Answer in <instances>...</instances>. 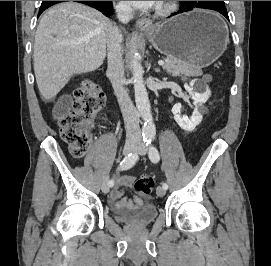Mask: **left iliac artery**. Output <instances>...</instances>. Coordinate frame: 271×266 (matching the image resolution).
<instances>
[{
    "label": "left iliac artery",
    "mask_w": 271,
    "mask_h": 266,
    "mask_svg": "<svg viewBox=\"0 0 271 266\" xmlns=\"http://www.w3.org/2000/svg\"><path fill=\"white\" fill-rule=\"evenodd\" d=\"M147 146L149 147V158L153 163H157L160 160L159 151L157 148L153 145V140L149 139L147 141ZM162 187L164 189H168L167 183H162Z\"/></svg>",
    "instance_id": "44dca946"
}]
</instances>
